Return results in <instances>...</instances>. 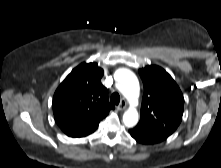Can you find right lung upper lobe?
Here are the masks:
<instances>
[{"label": "right lung upper lobe", "mask_w": 221, "mask_h": 168, "mask_svg": "<svg viewBox=\"0 0 221 168\" xmlns=\"http://www.w3.org/2000/svg\"><path fill=\"white\" fill-rule=\"evenodd\" d=\"M103 69L97 63H82L65 78L53 97L54 118L70 137L94 132L114 106L102 85Z\"/></svg>", "instance_id": "obj_1"}]
</instances>
